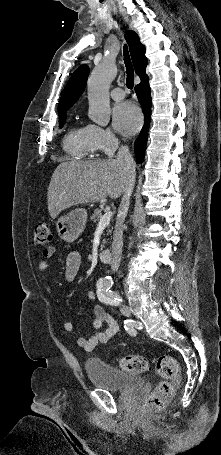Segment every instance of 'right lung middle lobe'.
I'll use <instances>...</instances> for the list:
<instances>
[{"label":"right lung middle lobe","instance_id":"right-lung-middle-lobe-1","mask_svg":"<svg viewBox=\"0 0 221 455\" xmlns=\"http://www.w3.org/2000/svg\"><path fill=\"white\" fill-rule=\"evenodd\" d=\"M67 110L68 109L58 110V113H59V127L60 128H62L64 123H65Z\"/></svg>","mask_w":221,"mask_h":455}]
</instances>
